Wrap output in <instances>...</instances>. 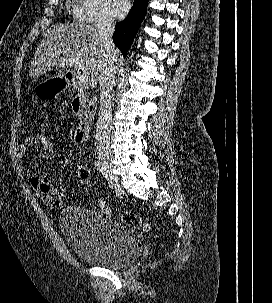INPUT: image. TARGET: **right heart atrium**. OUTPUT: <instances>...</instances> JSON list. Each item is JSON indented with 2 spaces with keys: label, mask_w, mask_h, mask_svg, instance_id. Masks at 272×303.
<instances>
[{
  "label": "right heart atrium",
  "mask_w": 272,
  "mask_h": 303,
  "mask_svg": "<svg viewBox=\"0 0 272 303\" xmlns=\"http://www.w3.org/2000/svg\"><path fill=\"white\" fill-rule=\"evenodd\" d=\"M86 20L92 23H110L113 16L107 0H82Z\"/></svg>",
  "instance_id": "obj_1"
}]
</instances>
